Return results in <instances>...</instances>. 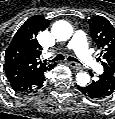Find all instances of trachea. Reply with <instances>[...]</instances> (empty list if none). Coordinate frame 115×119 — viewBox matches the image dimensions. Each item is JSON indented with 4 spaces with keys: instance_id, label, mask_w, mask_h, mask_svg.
<instances>
[{
    "instance_id": "trachea-1",
    "label": "trachea",
    "mask_w": 115,
    "mask_h": 119,
    "mask_svg": "<svg viewBox=\"0 0 115 119\" xmlns=\"http://www.w3.org/2000/svg\"><path fill=\"white\" fill-rule=\"evenodd\" d=\"M63 59H64V56L62 54H58L54 59L49 60V62L54 63L56 61L63 60ZM68 60L80 63V61H78L76 58L71 56L68 57Z\"/></svg>"
}]
</instances>
